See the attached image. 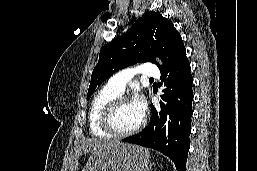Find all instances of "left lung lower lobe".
Wrapping results in <instances>:
<instances>
[{"label":"left lung lower lobe","mask_w":257,"mask_h":171,"mask_svg":"<svg viewBox=\"0 0 257 171\" xmlns=\"http://www.w3.org/2000/svg\"><path fill=\"white\" fill-rule=\"evenodd\" d=\"M159 68L166 86L163 90L165 94L161 96L165 103H160L159 112L151 105L149 125L142 132L123 141L158 150L174 162L177 171H186L193 113V78L185 47Z\"/></svg>","instance_id":"left-lung-lower-lobe-1"}]
</instances>
